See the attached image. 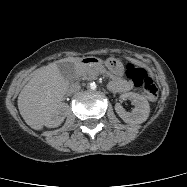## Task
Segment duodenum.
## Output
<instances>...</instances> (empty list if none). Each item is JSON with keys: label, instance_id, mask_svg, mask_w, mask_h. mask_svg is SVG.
<instances>
[{"label": "duodenum", "instance_id": "410a0bca", "mask_svg": "<svg viewBox=\"0 0 187 187\" xmlns=\"http://www.w3.org/2000/svg\"><path fill=\"white\" fill-rule=\"evenodd\" d=\"M92 61L93 60L91 58H81L75 62L74 67H75V69H79L80 67L87 65V64L91 63Z\"/></svg>", "mask_w": 187, "mask_h": 187}]
</instances>
